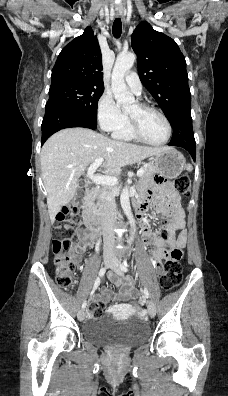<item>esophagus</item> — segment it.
Listing matches in <instances>:
<instances>
[{"mask_svg": "<svg viewBox=\"0 0 228 396\" xmlns=\"http://www.w3.org/2000/svg\"><path fill=\"white\" fill-rule=\"evenodd\" d=\"M115 15L116 17H122L123 16V10L120 7H116L115 9Z\"/></svg>", "mask_w": 228, "mask_h": 396, "instance_id": "34e87169", "label": "esophagus"}]
</instances>
